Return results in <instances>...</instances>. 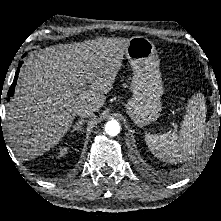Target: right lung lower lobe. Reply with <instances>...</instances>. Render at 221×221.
Wrapping results in <instances>:
<instances>
[{"label":"right lung lower lobe","mask_w":221,"mask_h":221,"mask_svg":"<svg viewBox=\"0 0 221 221\" xmlns=\"http://www.w3.org/2000/svg\"><path fill=\"white\" fill-rule=\"evenodd\" d=\"M22 63H23L22 61L19 63V68L22 65ZM19 68L17 69V72H16V75L14 77L13 83H12L10 89H9L8 97H11L14 94V89H15V85H16V82H17V78H18ZM8 100H9V98H8Z\"/></svg>","instance_id":"obj_1"}]
</instances>
